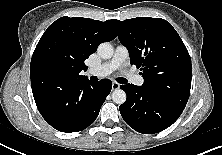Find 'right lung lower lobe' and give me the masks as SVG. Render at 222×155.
Returning a JSON list of instances; mask_svg holds the SVG:
<instances>
[{"instance_id":"1","label":"right lung lower lobe","mask_w":222,"mask_h":155,"mask_svg":"<svg viewBox=\"0 0 222 155\" xmlns=\"http://www.w3.org/2000/svg\"><path fill=\"white\" fill-rule=\"evenodd\" d=\"M112 83L107 79L98 82L83 78L63 86L32 89L37 108L55 129L78 132L91 125L109 95Z\"/></svg>"}]
</instances>
